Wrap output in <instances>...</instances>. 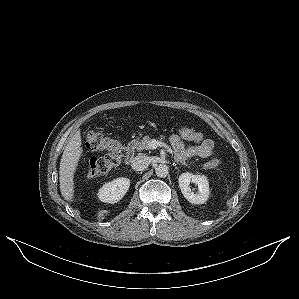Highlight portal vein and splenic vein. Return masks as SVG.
Wrapping results in <instances>:
<instances>
[{
    "mask_svg": "<svg viewBox=\"0 0 299 299\" xmlns=\"http://www.w3.org/2000/svg\"><path fill=\"white\" fill-rule=\"evenodd\" d=\"M157 147H164V148L167 149L168 151H171V148H170L166 143H163V142H161V141L152 140V141L149 143V148H150V149H156Z\"/></svg>",
    "mask_w": 299,
    "mask_h": 299,
    "instance_id": "portal-vein-and-splenic-vein-1",
    "label": "portal vein and splenic vein"
}]
</instances>
